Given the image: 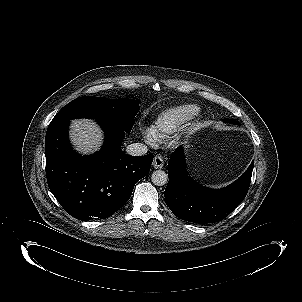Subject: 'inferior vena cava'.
Here are the masks:
<instances>
[{
    "label": "inferior vena cava",
    "instance_id": "602c4592",
    "mask_svg": "<svg viewBox=\"0 0 302 302\" xmlns=\"http://www.w3.org/2000/svg\"><path fill=\"white\" fill-rule=\"evenodd\" d=\"M147 151V146L142 143H133L126 147V153L131 156H142L145 155Z\"/></svg>",
    "mask_w": 302,
    "mask_h": 302
}]
</instances>
